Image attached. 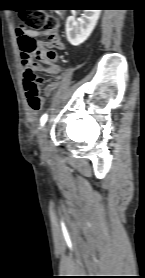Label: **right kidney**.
I'll return each instance as SVG.
<instances>
[{"instance_id": "1", "label": "right kidney", "mask_w": 145, "mask_h": 278, "mask_svg": "<svg viewBox=\"0 0 145 278\" xmlns=\"http://www.w3.org/2000/svg\"><path fill=\"white\" fill-rule=\"evenodd\" d=\"M101 10H84L82 17L76 20L69 16L66 20V35L73 46L82 44L90 36L99 19Z\"/></svg>"}]
</instances>
